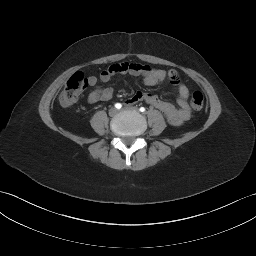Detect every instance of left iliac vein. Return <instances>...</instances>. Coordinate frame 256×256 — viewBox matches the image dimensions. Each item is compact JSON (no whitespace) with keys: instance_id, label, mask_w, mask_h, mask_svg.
I'll use <instances>...</instances> for the list:
<instances>
[{"instance_id":"left-iliac-vein-1","label":"left iliac vein","mask_w":256,"mask_h":256,"mask_svg":"<svg viewBox=\"0 0 256 256\" xmlns=\"http://www.w3.org/2000/svg\"><path fill=\"white\" fill-rule=\"evenodd\" d=\"M122 112H133V113H138L139 109L136 107H125L121 110Z\"/></svg>"}]
</instances>
